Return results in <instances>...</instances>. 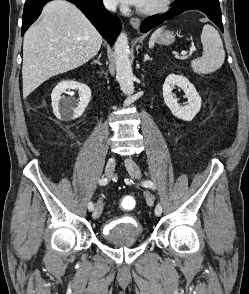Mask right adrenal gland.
I'll return each mask as SVG.
<instances>
[{"instance_id": "obj_1", "label": "right adrenal gland", "mask_w": 249, "mask_h": 294, "mask_svg": "<svg viewBox=\"0 0 249 294\" xmlns=\"http://www.w3.org/2000/svg\"><path fill=\"white\" fill-rule=\"evenodd\" d=\"M101 55H102V53H100L99 55H98V57H97V59L96 60H94L93 62H92V64H94V63H97L98 65H100L101 66V63H100V58H101Z\"/></svg>"}]
</instances>
